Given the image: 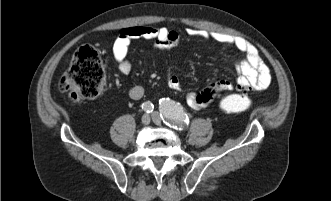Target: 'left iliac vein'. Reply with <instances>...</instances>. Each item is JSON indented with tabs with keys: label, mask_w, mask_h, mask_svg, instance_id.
Listing matches in <instances>:
<instances>
[{
	"label": "left iliac vein",
	"mask_w": 331,
	"mask_h": 201,
	"mask_svg": "<svg viewBox=\"0 0 331 201\" xmlns=\"http://www.w3.org/2000/svg\"><path fill=\"white\" fill-rule=\"evenodd\" d=\"M152 119L155 123L159 124L161 122V118L158 112L152 113Z\"/></svg>",
	"instance_id": "left-iliac-vein-1"
}]
</instances>
